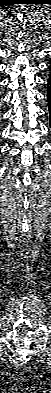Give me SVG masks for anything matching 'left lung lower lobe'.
I'll use <instances>...</instances> for the list:
<instances>
[{
  "mask_svg": "<svg viewBox=\"0 0 51 393\" xmlns=\"http://www.w3.org/2000/svg\"><path fill=\"white\" fill-rule=\"evenodd\" d=\"M51 71V69H50ZM51 73V72H50ZM49 80H48V89H47V99H48V103H49V108L51 109V74H49ZM51 112V111H50ZM50 119H51V115H50ZM51 121V120H50Z\"/></svg>",
  "mask_w": 51,
  "mask_h": 393,
  "instance_id": "left-lung-lower-lobe-1",
  "label": "left lung lower lobe"
}]
</instances>
